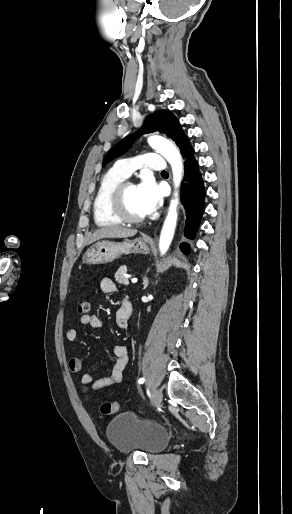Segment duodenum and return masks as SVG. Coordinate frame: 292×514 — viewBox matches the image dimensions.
<instances>
[{"label": "duodenum", "instance_id": "410a0bca", "mask_svg": "<svg viewBox=\"0 0 292 514\" xmlns=\"http://www.w3.org/2000/svg\"><path fill=\"white\" fill-rule=\"evenodd\" d=\"M122 307H123L124 311L126 312V316L130 317L132 315V311H133L132 303L128 300H124L122 302Z\"/></svg>", "mask_w": 292, "mask_h": 514}]
</instances>
